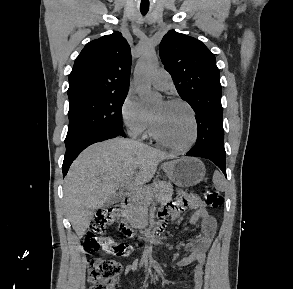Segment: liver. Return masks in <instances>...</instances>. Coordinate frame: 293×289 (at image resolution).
Listing matches in <instances>:
<instances>
[{
  "instance_id": "liver-1",
  "label": "liver",
  "mask_w": 293,
  "mask_h": 289,
  "mask_svg": "<svg viewBox=\"0 0 293 289\" xmlns=\"http://www.w3.org/2000/svg\"><path fill=\"white\" fill-rule=\"evenodd\" d=\"M172 154L136 140L115 138L85 149L73 162L64 180V205L78 237L90 225L120 185L129 181L142 187L154 177L158 164Z\"/></svg>"
}]
</instances>
